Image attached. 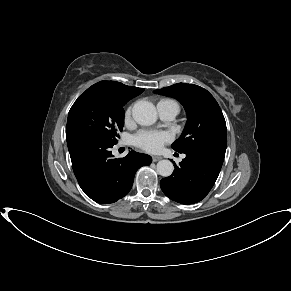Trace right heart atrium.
Masks as SVG:
<instances>
[{"label":"right heart atrium","mask_w":291,"mask_h":291,"mask_svg":"<svg viewBox=\"0 0 291 291\" xmlns=\"http://www.w3.org/2000/svg\"><path fill=\"white\" fill-rule=\"evenodd\" d=\"M131 115V107H129L125 112V121H128Z\"/></svg>","instance_id":"right-heart-atrium-1"}]
</instances>
